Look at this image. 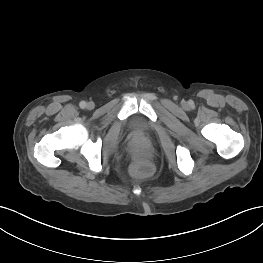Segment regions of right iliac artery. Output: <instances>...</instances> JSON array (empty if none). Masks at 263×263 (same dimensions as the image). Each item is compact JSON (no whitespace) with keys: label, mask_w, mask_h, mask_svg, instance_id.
Instances as JSON below:
<instances>
[{"label":"right iliac artery","mask_w":263,"mask_h":263,"mask_svg":"<svg viewBox=\"0 0 263 263\" xmlns=\"http://www.w3.org/2000/svg\"><path fill=\"white\" fill-rule=\"evenodd\" d=\"M79 106L83 109L86 107V102L85 101H81Z\"/></svg>","instance_id":"82829eb1"}]
</instances>
